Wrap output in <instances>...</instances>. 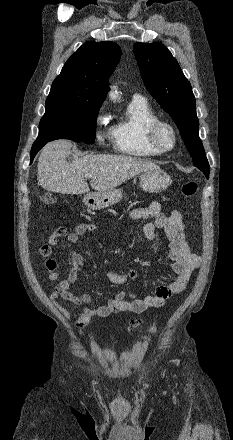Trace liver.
<instances>
[{
	"label": "liver",
	"instance_id": "obj_1",
	"mask_svg": "<svg viewBox=\"0 0 233 440\" xmlns=\"http://www.w3.org/2000/svg\"><path fill=\"white\" fill-rule=\"evenodd\" d=\"M72 143L60 139L48 143L41 151L37 165L38 184L48 191L62 194H83L89 192L86 174H92L90 185L98 191L113 189L135 175L159 169L153 162L126 155L74 156L72 162L66 157L71 154Z\"/></svg>",
	"mask_w": 233,
	"mask_h": 440
}]
</instances>
